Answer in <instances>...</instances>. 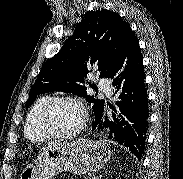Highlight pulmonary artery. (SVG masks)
I'll use <instances>...</instances> for the list:
<instances>
[{"mask_svg": "<svg viewBox=\"0 0 183 179\" xmlns=\"http://www.w3.org/2000/svg\"><path fill=\"white\" fill-rule=\"evenodd\" d=\"M99 88L104 91L108 96L111 95L110 81L108 79H101L98 82Z\"/></svg>", "mask_w": 183, "mask_h": 179, "instance_id": "1", "label": "pulmonary artery"}]
</instances>
